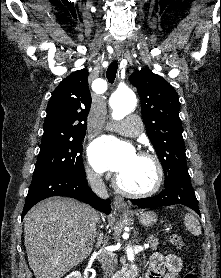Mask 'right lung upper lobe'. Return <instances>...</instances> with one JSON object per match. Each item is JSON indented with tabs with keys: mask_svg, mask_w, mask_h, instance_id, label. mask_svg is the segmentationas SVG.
<instances>
[{
	"mask_svg": "<svg viewBox=\"0 0 221 278\" xmlns=\"http://www.w3.org/2000/svg\"><path fill=\"white\" fill-rule=\"evenodd\" d=\"M88 71L78 70L54 90L47 106L42 142L85 135L91 107Z\"/></svg>",
	"mask_w": 221,
	"mask_h": 278,
	"instance_id": "obj_1",
	"label": "right lung upper lobe"
}]
</instances>
